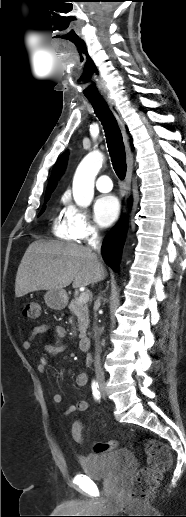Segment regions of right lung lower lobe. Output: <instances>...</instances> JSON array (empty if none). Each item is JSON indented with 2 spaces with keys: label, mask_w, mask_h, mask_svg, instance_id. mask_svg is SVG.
Wrapping results in <instances>:
<instances>
[{
  "label": "right lung lower lobe",
  "mask_w": 186,
  "mask_h": 517,
  "mask_svg": "<svg viewBox=\"0 0 186 517\" xmlns=\"http://www.w3.org/2000/svg\"><path fill=\"white\" fill-rule=\"evenodd\" d=\"M127 227L125 222L115 227L104 239L102 245V257L107 265L114 271H118L119 260L126 237Z\"/></svg>",
  "instance_id": "right-lung-lower-lobe-1"
}]
</instances>
